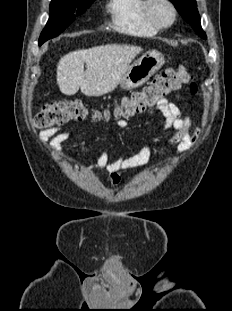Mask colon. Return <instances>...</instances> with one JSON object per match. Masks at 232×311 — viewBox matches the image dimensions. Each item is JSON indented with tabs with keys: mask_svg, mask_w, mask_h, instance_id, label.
Masks as SVG:
<instances>
[{
	"mask_svg": "<svg viewBox=\"0 0 232 311\" xmlns=\"http://www.w3.org/2000/svg\"><path fill=\"white\" fill-rule=\"evenodd\" d=\"M183 85H189L192 93L197 91L194 76L186 67L167 68L157 74L147 86L122 98L115 106L113 115L117 118H129L144 112ZM87 115L88 110L80 100H60L46 104L36 114L34 123L37 128H50L83 119ZM103 116L105 113H94L95 118Z\"/></svg>",
	"mask_w": 232,
	"mask_h": 311,
	"instance_id": "obj_1",
	"label": "colon"
}]
</instances>
